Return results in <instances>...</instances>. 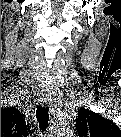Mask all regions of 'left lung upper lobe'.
I'll return each instance as SVG.
<instances>
[{
  "instance_id": "obj_1",
  "label": "left lung upper lobe",
  "mask_w": 121,
  "mask_h": 137,
  "mask_svg": "<svg viewBox=\"0 0 121 137\" xmlns=\"http://www.w3.org/2000/svg\"><path fill=\"white\" fill-rule=\"evenodd\" d=\"M76 130L84 137H114L121 134L120 129L112 121L88 109L79 111Z\"/></svg>"
}]
</instances>
